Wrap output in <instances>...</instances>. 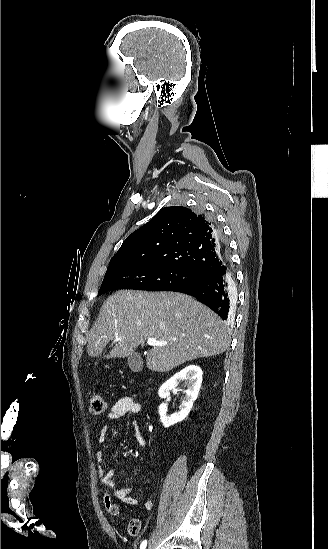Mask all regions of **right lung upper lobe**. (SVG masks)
<instances>
[{
  "instance_id": "cb5924a9",
  "label": "right lung upper lobe",
  "mask_w": 328,
  "mask_h": 549,
  "mask_svg": "<svg viewBox=\"0 0 328 549\" xmlns=\"http://www.w3.org/2000/svg\"><path fill=\"white\" fill-rule=\"evenodd\" d=\"M219 235L216 225L205 216L182 206L164 207L126 238L107 272L122 264L146 262L189 268L205 275L221 268L227 258Z\"/></svg>"
}]
</instances>
